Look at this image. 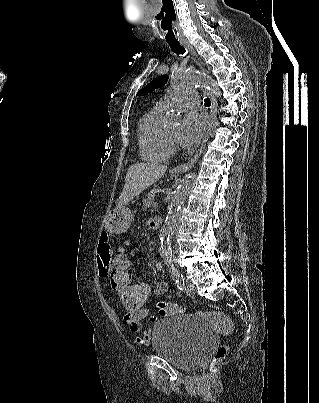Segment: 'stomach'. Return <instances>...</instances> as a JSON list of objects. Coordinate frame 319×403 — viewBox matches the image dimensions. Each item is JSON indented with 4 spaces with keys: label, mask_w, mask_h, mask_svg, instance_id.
<instances>
[{
    "label": "stomach",
    "mask_w": 319,
    "mask_h": 403,
    "mask_svg": "<svg viewBox=\"0 0 319 403\" xmlns=\"http://www.w3.org/2000/svg\"><path fill=\"white\" fill-rule=\"evenodd\" d=\"M133 221L131 211L122 206L108 213L105 219V229L111 234H122L128 230Z\"/></svg>",
    "instance_id": "obj_1"
}]
</instances>
